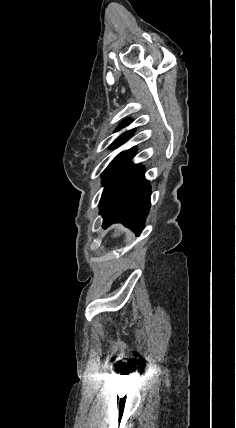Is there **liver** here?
Here are the masks:
<instances>
[{
  "instance_id": "1",
  "label": "liver",
  "mask_w": 236,
  "mask_h": 428,
  "mask_svg": "<svg viewBox=\"0 0 236 428\" xmlns=\"http://www.w3.org/2000/svg\"><path fill=\"white\" fill-rule=\"evenodd\" d=\"M121 232H123V230H121V228H117V230H115V234H113V238H118V236H121Z\"/></svg>"
}]
</instances>
